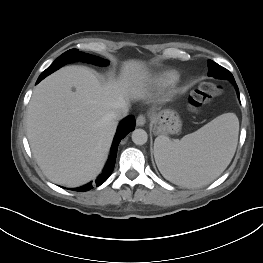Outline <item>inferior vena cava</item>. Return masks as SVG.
Here are the masks:
<instances>
[{
  "label": "inferior vena cava",
  "instance_id": "602c4592",
  "mask_svg": "<svg viewBox=\"0 0 263 263\" xmlns=\"http://www.w3.org/2000/svg\"><path fill=\"white\" fill-rule=\"evenodd\" d=\"M129 111L128 104L123 102L119 105L117 109L111 112V117L115 120H120L127 116Z\"/></svg>",
  "mask_w": 263,
  "mask_h": 263
}]
</instances>
